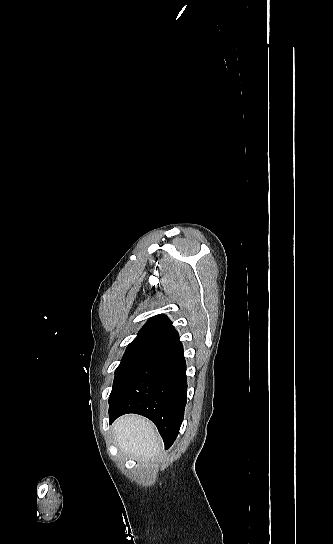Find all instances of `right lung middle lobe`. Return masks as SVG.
<instances>
[{
    "mask_svg": "<svg viewBox=\"0 0 333 544\" xmlns=\"http://www.w3.org/2000/svg\"><path fill=\"white\" fill-rule=\"evenodd\" d=\"M150 352V348H129L125 351L121 363L115 371L114 384L109 399L124 386Z\"/></svg>",
    "mask_w": 333,
    "mask_h": 544,
    "instance_id": "dd1d6c3e",
    "label": "right lung middle lobe"
}]
</instances>
